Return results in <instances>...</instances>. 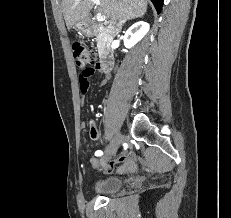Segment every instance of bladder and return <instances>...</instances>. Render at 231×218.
<instances>
[{
    "label": "bladder",
    "instance_id": "31cf9c89",
    "mask_svg": "<svg viewBox=\"0 0 231 218\" xmlns=\"http://www.w3.org/2000/svg\"><path fill=\"white\" fill-rule=\"evenodd\" d=\"M123 182L117 177H107L98 180L94 185V191L97 194L109 195L121 189Z\"/></svg>",
    "mask_w": 231,
    "mask_h": 218
}]
</instances>
